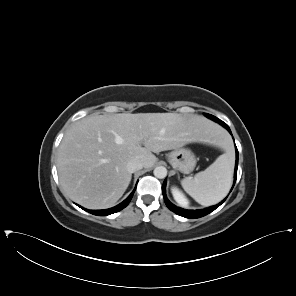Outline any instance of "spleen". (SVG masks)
Here are the masks:
<instances>
[{
  "mask_svg": "<svg viewBox=\"0 0 296 296\" xmlns=\"http://www.w3.org/2000/svg\"><path fill=\"white\" fill-rule=\"evenodd\" d=\"M216 145L227 152L220 155L204 171L197 173L194 178L187 177L181 181L186 193L203 206L221 201L228 194L232 184L234 160L230 145L226 141L218 140Z\"/></svg>",
  "mask_w": 296,
  "mask_h": 296,
  "instance_id": "obj_1",
  "label": "spleen"
}]
</instances>
